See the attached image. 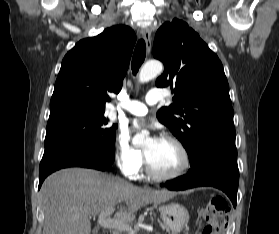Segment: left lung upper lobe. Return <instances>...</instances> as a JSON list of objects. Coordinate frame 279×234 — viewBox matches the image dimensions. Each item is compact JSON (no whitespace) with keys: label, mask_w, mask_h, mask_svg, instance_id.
Here are the masks:
<instances>
[{"label":"left lung upper lobe","mask_w":279,"mask_h":234,"mask_svg":"<svg viewBox=\"0 0 279 234\" xmlns=\"http://www.w3.org/2000/svg\"><path fill=\"white\" fill-rule=\"evenodd\" d=\"M153 55L164 63L157 87L170 85L174 103L158 120L182 142L192 165L208 145L235 142L233 108L221 61L184 21L174 19L157 31Z\"/></svg>","instance_id":"left-lung-upper-lobe-1"}]
</instances>
